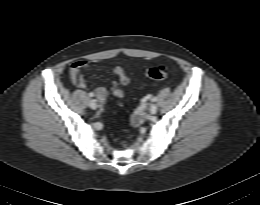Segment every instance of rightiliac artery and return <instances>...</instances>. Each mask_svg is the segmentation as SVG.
Returning a JSON list of instances; mask_svg holds the SVG:
<instances>
[{
    "mask_svg": "<svg viewBox=\"0 0 260 205\" xmlns=\"http://www.w3.org/2000/svg\"><path fill=\"white\" fill-rule=\"evenodd\" d=\"M89 96H90V97H93V96H94V94L91 92V93L89 94Z\"/></svg>",
    "mask_w": 260,
    "mask_h": 205,
    "instance_id": "1",
    "label": "right iliac artery"
}]
</instances>
